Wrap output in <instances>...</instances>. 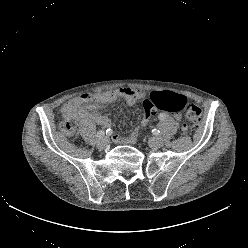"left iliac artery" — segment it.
I'll list each match as a JSON object with an SVG mask.
<instances>
[{
    "mask_svg": "<svg viewBox=\"0 0 248 248\" xmlns=\"http://www.w3.org/2000/svg\"><path fill=\"white\" fill-rule=\"evenodd\" d=\"M160 116L162 117V116H163V114H160ZM153 133H154L155 135H157V134L159 133V130L154 129V130H153Z\"/></svg>",
    "mask_w": 248,
    "mask_h": 248,
    "instance_id": "1",
    "label": "left iliac artery"
}]
</instances>
